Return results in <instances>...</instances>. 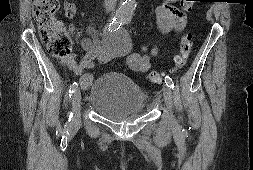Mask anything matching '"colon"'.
<instances>
[{
	"mask_svg": "<svg viewBox=\"0 0 253 170\" xmlns=\"http://www.w3.org/2000/svg\"><path fill=\"white\" fill-rule=\"evenodd\" d=\"M190 1L195 0H184V8L187 10L191 6L189 4ZM59 7V0H34L32 12L38 25L41 41L53 57L61 59L66 58L71 53L72 41L56 19V13ZM191 52V34L187 32L182 36L180 50L175 57L174 70L185 66ZM148 78L153 83L161 84L164 81V74L158 71H151Z\"/></svg>",
	"mask_w": 253,
	"mask_h": 170,
	"instance_id": "colon-1",
	"label": "colon"
}]
</instances>
